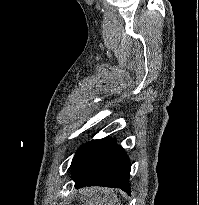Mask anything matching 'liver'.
<instances>
[{"mask_svg":"<svg viewBox=\"0 0 199 205\" xmlns=\"http://www.w3.org/2000/svg\"><path fill=\"white\" fill-rule=\"evenodd\" d=\"M92 194H93V192H90V193H89V196H92Z\"/></svg>","mask_w":199,"mask_h":205,"instance_id":"obj_1","label":"liver"}]
</instances>
